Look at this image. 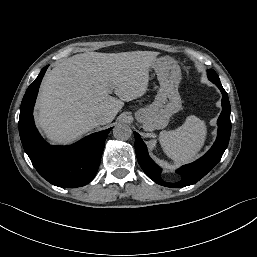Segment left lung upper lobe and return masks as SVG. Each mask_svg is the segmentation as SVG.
Here are the masks:
<instances>
[{"label":"left lung upper lobe","instance_id":"obj_1","mask_svg":"<svg viewBox=\"0 0 257 257\" xmlns=\"http://www.w3.org/2000/svg\"><path fill=\"white\" fill-rule=\"evenodd\" d=\"M208 77L216 85L221 84L220 79L214 70H212V69L208 70Z\"/></svg>","mask_w":257,"mask_h":257}]
</instances>
